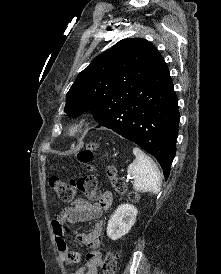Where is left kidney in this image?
Listing matches in <instances>:
<instances>
[{
  "instance_id": "5707ae66",
  "label": "left kidney",
  "mask_w": 221,
  "mask_h": 274,
  "mask_svg": "<svg viewBox=\"0 0 221 274\" xmlns=\"http://www.w3.org/2000/svg\"><path fill=\"white\" fill-rule=\"evenodd\" d=\"M137 213L138 210L131 204L120 205L108 221L107 236L117 240L126 235L135 224Z\"/></svg>"
}]
</instances>
